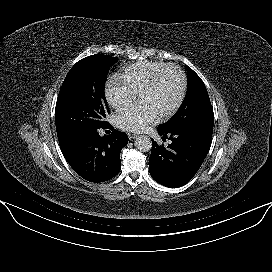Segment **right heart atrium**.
Here are the masks:
<instances>
[{"label":"right heart atrium","mask_w":272,"mask_h":272,"mask_svg":"<svg viewBox=\"0 0 272 272\" xmlns=\"http://www.w3.org/2000/svg\"><path fill=\"white\" fill-rule=\"evenodd\" d=\"M105 97L110 106L122 110L135 101L136 94L122 81L113 77L106 82Z\"/></svg>","instance_id":"1"}]
</instances>
